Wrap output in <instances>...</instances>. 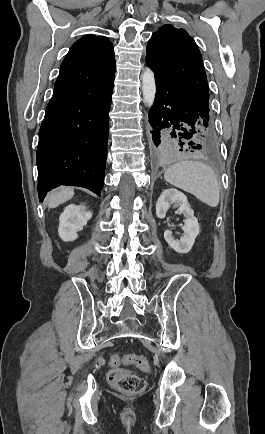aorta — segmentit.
<instances>
[{"mask_svg": "<svg viewBox=\"0 0 265 434\" xmlns=\"http://www.w3.org/2000/svg\"><path fill=\"white\" fill-rule=\"evenodd\" d=\"M142 94L144 104L151 108L155 100L156 84L154 74L150 68H145L142 74Z\"/></svg>", "mask_w": 265, "mask_h": 434, "instance_id": "1", "label": "aorta"}]
</instances>
